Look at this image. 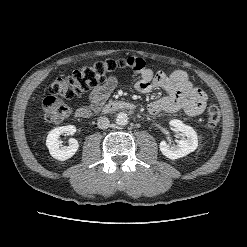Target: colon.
Wrapping results in <instances>:
<instances>
[{
    "instance_id": "1",
    "label": "colon",
    "mask_w": 247,
    "mask_h": 247,
    "mask_svg": "<svg viewBox=\"0 0 247 247\" xmlns=\"http://www.w3.org/2000/svg\"><path fill=\"white\" fill-rule=\"evenodd\" d=\"M129 58L107 59L84 66L71 75L59 76L50 87V94L42 101L43 115L51 123L62 122L72 114V109L59 97L72 99L96 86L103 84L111 74L131 67ZM221 119L217 106H210L206 112V124L215 128Z\"/></svg>"
}]
</instances>
